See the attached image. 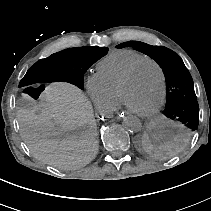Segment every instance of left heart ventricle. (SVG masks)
I'll return each mask as SVG.
<instances>
[{"mask_svg":"<svg viewBox=\"0 0 211 211\" xmlns=\"http://www.w3.org/2000/svg\"><path fill=\"white\" fill-rule=\"evenodd\" d=\"M160 97V75L157 68L144 64L126 85L123 92L125 105L138 112L151 110Z\"/></svg>","mask_w":211,"mask_h":211,"instance_id":"b2bd125f","label":"left heart ventricle"}]
</instances>
